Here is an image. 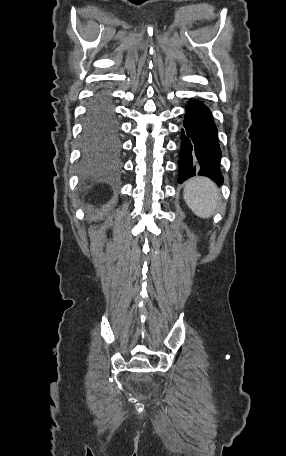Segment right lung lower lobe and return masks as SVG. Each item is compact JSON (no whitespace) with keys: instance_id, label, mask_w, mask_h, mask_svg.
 Instances as JSON below:
<instances>
[{"instance_id":"1","label":"right lung lower lobe","mask_w":286,"mask_h":456,"mask_svg":"<svg viewBox=\"0 0 286 456\" xmlns=\"http://www.w3.org/2000/svg\"><path fill=\"white\" fill-rule=\"evenodd\" d=\"M90 116H94L98 119L105 120L109 123H113V130H117V123L115 113L113 111V104L111 96L107 90H101L94 96L87 112V118ZM110 134L113 133L111 131H108L105 135Z\"/></svg>"}]
</instances>
